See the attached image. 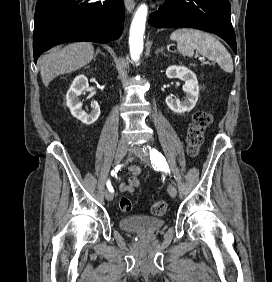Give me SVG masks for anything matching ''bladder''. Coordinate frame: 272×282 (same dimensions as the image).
Returning <instances> with one entry per match:
<instances>
[{"label":"bladder","mask_w":272,"mask_h":282,"mask_svg":"<svg viewBox=\"0 0 272 282\" xmlns=\"http://www.w3.org/2000/svg\"><path fill=\"white\" fill-rule=\"evenodd\" d=\"M118 223L122 229L137 234H153L164 225V221L161 218L148 216L123 217L119 219Z\"/></svg>","instance_id":"bladder-1"}]
</instances>
